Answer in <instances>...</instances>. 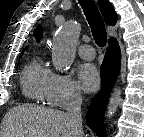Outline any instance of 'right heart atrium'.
<instances>
[{
	"label": "right heart atrium",
	"mask_w": 144,
	"mask_h": 137,
	"mask_svg": "<svg viewBox=\"0 0 144 137\" xmlns=\"http://www.w3.org/2000/svg\"><path fill=\"white\" fill-rule=\"evenodd\" d=\"M80 100V93L67 74H53L46 102L53 107L65 108Z\"/></svg>",
	"instance_id": "d8ad5b80"
}]
</instances>
